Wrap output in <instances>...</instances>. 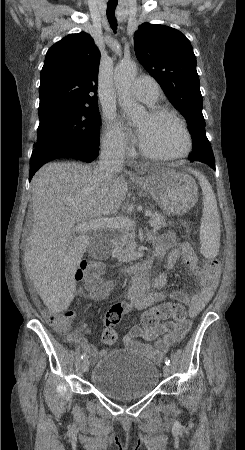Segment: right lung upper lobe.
Returning <instances> with one entry per match:
<instances>
[{
    "mask_svg": "<svg viewBox=\"0 0 245 450\" xmlns=\"http://www.w3.org/2000/svg\"><path fill=\"white\" fill-rule=\"evenodd\" d=\"M100 52L89 34H70L45 57L39 87V108L63 103L95 106Z\"/></svg>",
    "mask_w": 245,
    "mask_h": 450,
    "instance_id": "1",
    "label": "right lung upper lobe"
}]
</instances>
